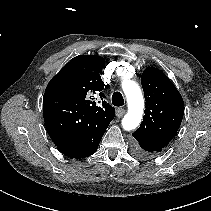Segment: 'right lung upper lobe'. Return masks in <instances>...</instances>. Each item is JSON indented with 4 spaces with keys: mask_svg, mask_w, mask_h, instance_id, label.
<instances>
[{
    "mask_svg": "<svg viewBox=\"0 0 211 211\" xmlns=\"http://www.w3.org/2000/svg\"><path fill=\"white\" fill-rule=\"evenodd\" d=\"M105 60L93 55H79L68 62L48 83L45 93L70 97L79 104V114L83 122H96L108 126L115 116V109L102 100L97 105L93 95L102 94L101 80ZM81 121V119H80Z\"/></svg>",
    "mask_w": 211,
    "mask_h": 211,
    "instance_id": "obj_1",
    "label": "right lung upper lobe"
}]
</instances>
